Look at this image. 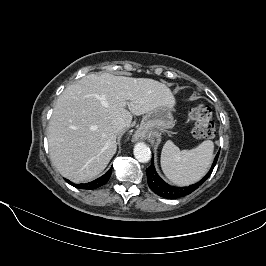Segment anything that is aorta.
<instances>
[{
  "label": "aorta",
  "mask_w": 266,
  "mask_h": 266,
  "mask_svg": "<svg viewBox=\"0 0 266 266\" xmlns=\"http://www.w3.org/2000/svg\"><path fill=\"white\" fill-rule=\"evenodd\" d=\"M135 158L142 163H146L151 159V151L144 143H137L134 147Z\"/></svg>",
  "instance_id": "1"
}]
</instances>
